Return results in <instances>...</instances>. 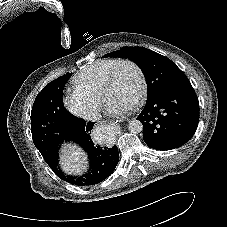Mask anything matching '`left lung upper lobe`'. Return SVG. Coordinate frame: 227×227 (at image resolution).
Here are the masks:
<instances>
[{
  "mask_svg": "<svg viewBox=\"0 0 227 227\" xmlns=\"http://www.w3.org/2000/svg\"><path fill=\"white\" fill-rule=\"evenodd\" d=\"M105 57L128 58L143 71L148 88L147 99L170 89L190 84L186 75L169 58L143 47H123Z\"/></svg>",
  "mask_w": 227,
  "mask_h": 227,
  "instance_id": "5c2ea615",
  "label": "left lung upper lobe"
}]
</instances>
